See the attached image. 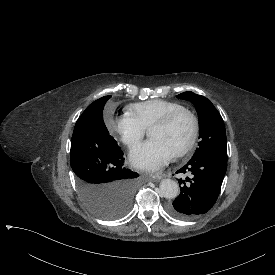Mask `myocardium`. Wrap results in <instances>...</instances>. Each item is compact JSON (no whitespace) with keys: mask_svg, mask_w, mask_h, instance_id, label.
<instances>
[{"mask_svg":"<svg viewBox=\"0 0 275 275\" xmlns=\"http://www.w3.org/2000/svg\"><path fill=\"white\" fill-rule=\"evenodd\" d=\"M181 116H187L189 118L191 123V131L187 142L183 146H181L179 149H177L176 152L174 153L176 157H182L186 155L188 152H190L197 141V138L199 135V122L196 115L192 111L185 108L176 110L169 113L164 118L156 122L152 127V128L154 127L170 128L174 124V122Z\"/></svg>","mask_w":275,"mask_h":275,"instance_id":"obj_1","label":"myocardium"}]
</instances>
